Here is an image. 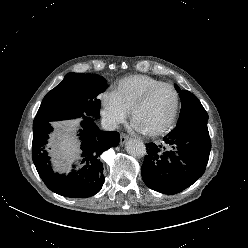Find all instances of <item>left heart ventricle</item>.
I'll return each mask as SVG.
<instances>
[{
  "instance_id": "1",
  "label": "left heart ventricle",
  "mask_w": 248,
  "mask_h": 248,
  "mask_svg": "<svg viewBox=\"0 0 248 248\" xmlns=\"http://www.w3.org/2000/svg\"><path fill=\"white\" fill-rule=\"evenodd\" d=\"M174 101L175 96L171 88H160L151 96L147 105L138 112L134 124L143 132L161 128L171 116Z\"/></svg>"
}]
</instances>
